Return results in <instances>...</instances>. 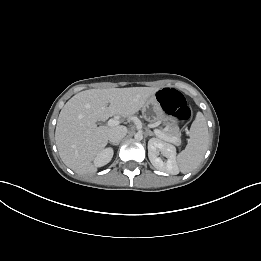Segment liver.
<instances>
[{"instance_id":"obj_1","label":"liver","mask_w":261,"mask_h":261,"mask_svg":"<svg viewBox=\"0 0 261 261\" xmlns=\"http://www.w3.org/2000/svg\"><path fill=\"white\" fill-rule=\"evenodd\" d=\"M158 91L154 87L89 89L74 95L62 108L55 141L66 166L81 175L94 174L92 163L108 143L111 128L96 122L111 116L137 113Z\"/></svg>"}]
</instances>
